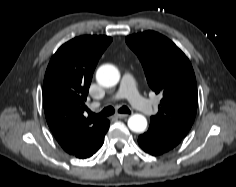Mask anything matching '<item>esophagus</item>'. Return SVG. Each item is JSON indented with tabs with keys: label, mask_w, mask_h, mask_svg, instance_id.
<instances>
[{
	"label": "esophagus",
	"mask_w": 236,
	"mask_h": 187,
	"mask_svg": "<svg viewBox=\"0 0 236 187\" xmlns=\"http://www.w3.org/2000/svg\"><path fill=\"white\" fill-rule=\"evenodd\" d=\"M115 116L117 118H127L129 115L128 114H116Z\"/></svg>",
	"instance_id": "1"
}]
</instances>
